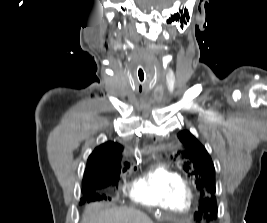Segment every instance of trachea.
Wrapping results in <instances>:
<instances>
[{"label":"trachea","mask_w":267,"mask_h":223,"mask_svg":"<svg viewBox=\"0 0 267 223\" xmlns=\"http://www.w3.org/2000/svg\"><path fill=\"white\" fill-rule=\"evenodd\" d=\"M138 79L140 83L144 82V71L141 68L138 70Z\"/></svg>","instance_id":"3493384b"}]
</instances>
